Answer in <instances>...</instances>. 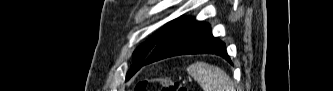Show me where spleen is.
<instances>
[{"label": "spleen", "mask_w": 333, "mask_h": 91, "mask_svg": "<svg viewBox=\"0 0 333 91\" xmlns=\"http://www.w3.org/2000/svg\"><path fill=\"white\" fill-rule=\"evenodd\" d=\"M187 72L204 91H234L231 78L217 66L205 62H195L188 66Z\"/></svg>", "instance_id": "spleen-1"}]
</instances>
